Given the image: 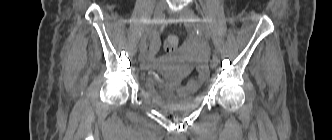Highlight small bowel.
<instances>
[{"label": "small bowel", "mask_w": 332, "mask_h": 140, "mask_svg": "<svg viewBox=\"0 0 332 140\" xmlns=\"http://www.w3.org/2000/svg\"><path fill=\"white\" fill-rule=\"evenodd\" d=\"M159 44L158 40L156 38H153L150 42L149 48L145 50V55H144V68L148 69L151 64L155 61L157 52H158ZM183 51H190L192 52L198 62V69H199V76L198 79L199 81H202L205 79L207 75V65H206V60H207V49L204 45H200L199 47H193L191 44H184L181 48ZM150 79H154L156 75L152 72L149 73ZM159 87L163 88L166 87V82L164 79H161L159 81ZM180 86L176 84H171L169 86V89L171 91H177Z\"/></svg>", "instance_id": "1"}]
</instances>
